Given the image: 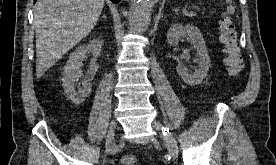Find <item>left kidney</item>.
Instances as JSON below:
<instances>
[{"instance_id": "5707ae66", "label": "left kidney", "mask_w": 276, "mask_h": 165, "mask_svg": "<svg viewBox=\"0 0 276 165\" xmlns=\"http://www.w3.org/2000/svg\"><path fill=\"white\" fill-rule=\"evenodd\" d=\"M185 36H188L190 42L196 46L199 55L198 69L192 73L189 69L179 64L176 70L186 84L194 86L200 84L207 76L211 60L200 30L193 25L183 26L178 23L172 25L167 34V42L171 46H177L181 38Z\"/></svg>"}]
</instances>
